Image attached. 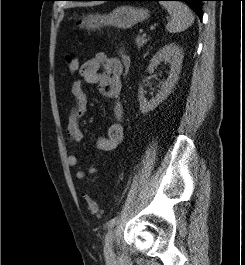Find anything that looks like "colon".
<instances>
[{
	"instance_id": "1",
	"label": "colon",
	"mask_w": 245,
	"mask_h": 265,
	"mask_svg": "<svg viewBox=\"0 0 245 265\" xmlns=\"http://www.w3.org/2000/svg\"><path fill=\"white\" fill-rule=\"evenodd\" d=\"M123 67V71H126V69L129 66L130 60L128 55L126 54L124 49H121L118 57H117ZM67 66L70 70V72H75L78 70L79 68V60L75 55L72 54H67L65 57ZM92 172L94 171V169L91 170ZM87 202H88V207L89 210L93 213V214H98L100 212L99 210V206L98 204L89 196H86Z\"/></svg>"
}]
</instances>
